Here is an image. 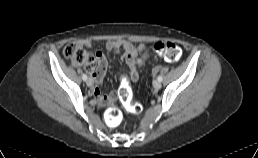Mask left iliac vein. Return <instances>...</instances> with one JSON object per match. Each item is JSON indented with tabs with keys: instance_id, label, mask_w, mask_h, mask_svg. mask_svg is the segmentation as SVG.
<instances>
[{
	"instance_id": "4c4485c4",
	"label": "left iliac vein",
	"mask_w": 258,
	"mask_h": 158,
	"mask_svg": "<svg viewBox=\"0 0 258 158\" xmlns=\"http://www.w3.org/2000/svg\"><path fill=\"white\" fill-rule=\"evenodd\" d=\"M153 87H154V89H156V90L160 89V88H161V82L158 81V80L154 81V82H153Z\"/></svg>"
}]
</instances>
